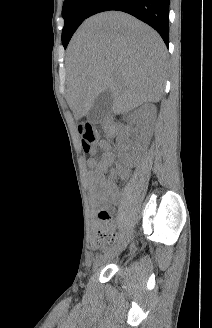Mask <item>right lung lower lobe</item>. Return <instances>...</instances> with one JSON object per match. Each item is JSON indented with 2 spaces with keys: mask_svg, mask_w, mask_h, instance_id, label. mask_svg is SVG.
Wrapping results in <instances>:
<instances>
[{
  "mask_svg": "<svg viewBox=\"0 0 212 328\" xmlns=\"http://www.w3.org/2000/svg\"><path fill=\"white\" fill-rule=\"evenodd\" d=\"M169 1L170 0H97L88 17L109 10L129 13L153 27L169 44Z\"/></svg>",
  "mask_w": 212,
  "mask_h": 328,
  "instance_id": "right-lung-lower-lobe-1",
  "label": "right lung lower lobe"
}]
</instances>
